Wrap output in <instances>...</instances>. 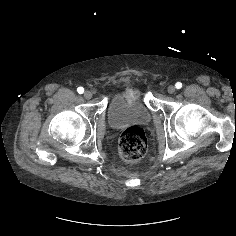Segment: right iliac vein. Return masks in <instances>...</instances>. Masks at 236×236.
<instances>
[{
    "instance_id": "obj_1",
    "label": "right iliac vein",
    "mask_w": 236,
    "mask_h": 236,
    "mask_svg": "<svg viewBox=\"0 0 236 236\" xmlns=\"http://www.w3.org/2000/svg\"><path fill=\"white\" fill-rule=\"evenodd\" d=\"M83 95L86 99H91L93 96L92 92H90V91H85Z\"/></svg>"
}]
</instances>
